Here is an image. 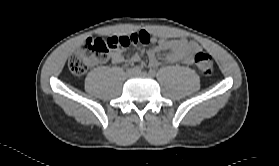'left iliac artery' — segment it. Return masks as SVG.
I'll return each instance as SVG.
<instances>
[{
	"mask_svg": "<svg viewBox=\"0 0 279 166\" xmlns=\"http://www.w3.org/2000/svg\"><path fill=\"white\" fill-rule=\"evenodd\" d=\"M149 74H150L151 76H155L156 72H155V70L150 69V70H149Z\"/></svg>",
	"mask_w": 279,
	"mask_h": 166,
	"instance_id": "left-iliac-artery-1",
	"label": "left iliac artery"
}]
</instances>
